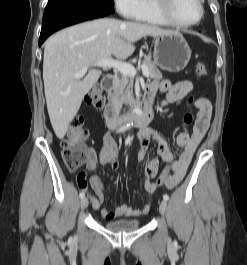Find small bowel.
<instances>
[{
  "instance_id": "1",
  "label": "small bowel",
  "mask_w": 247,
  "mask_h": 265,
  "mask_svg": "<svg viewBox=\"0 0 247 265\" xmlns=\"http://www.w3.org/2000/svg\"><path fill=\"white\" fill-rule=\"evenodd\" d=\"M193 90L191 81L184 80L177 83H171L168 80L154 81L149 85L151 94L160 91L166 94L162 101V106L174 103L185 98ZM188 105L198 110L196 121L192 133H180L177 135L176 142L182 148V152L178 158L173 156L167 141L162 135L152 128H143L139 132V149L137 159L145 161L143 188L148 193H154L157 186L152 179L157 175L159 162L155 158H147V151L151 142L157 147V153L164 162H172L173 174L165 183L168 189L174 188L186 174L191 159L205 136L212 116V105L210 101L203 97H190ZM106 164L111 169L118 168L117 162V143L111 134H106L103 138L99 154L94 150L88 149L86 168L89 171H95L98 164ZM79 187L87 191L88 186L92 189L94 195H89L93 209L100 210V215L105 220H113L118 217H134L146 213L150 205L146 204L143 209H134L125 204L118 205L113 211L101 209L104 199V185L100 177L92 176L89 181L85 179L84 174L77 177Z\"/></svg>"
}]
</instances>
